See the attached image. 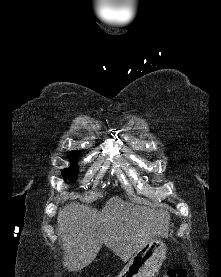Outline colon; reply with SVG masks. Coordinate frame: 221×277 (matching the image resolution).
Here are the masks:
<instances>
[{"instance_id":"colon-1","label":"colon","mask_w":221,"mask_h":277,"mask_svg":"<svg viewBox=\"0 0 221 277\" xmlns=\"http://www.w3.org/2000/svg\"><path fill=\"white\" fill-rule=\"evenodd\" d=\"M166 277H187V272L184 269L173 268L167 271Z\"/></svg>"}]
</instances>
